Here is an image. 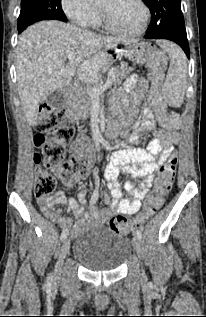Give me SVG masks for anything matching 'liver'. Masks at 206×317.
<instances>
[{
    "label": "liver",
    "instance_id": "6515ba94",
    "mask_svg": "<svg viewBox=\"0 0 206 317\" xmlns=\"http://www.w3.org/2000/svg\"><path fill=\"white\" fill-rule=\"evenodd\" d=\"M130 42L59 21H43L28 27L19 36L16 50L18 92L27 123H36L40 104L51 92L70 86L77 70L79 76H84L89 66H101L103 47ZM69 52L77 56L67 62Z\"/></svg>",
    "mask_w": 206,
    "mask_h": 317
}]
</instances>
